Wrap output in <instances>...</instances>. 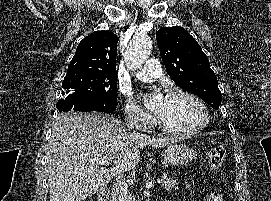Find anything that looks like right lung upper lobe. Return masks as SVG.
<instances>
[{"label": "right lung upper lobe", "instance_id": "right-lung-upper-lobe-1", "mask_svg": "<svg viewBox=\"0 0 271 201\" xmlns=\"http://www.w3.org/2000/svg\"><path fill=\"white\" fill-rule=\"evenodd\" d=\"M110 31H96L81 40L67 72L87 71L116 74L117 42Z\"/></svg>", "mask_w": 271, "mask_h": 201}]
</instances>
